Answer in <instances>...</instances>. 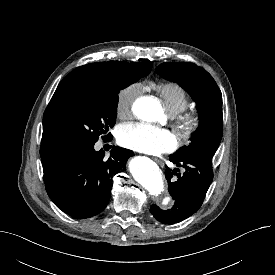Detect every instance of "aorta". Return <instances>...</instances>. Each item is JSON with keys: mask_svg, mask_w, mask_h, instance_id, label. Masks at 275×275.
<instances>
[{"mask_svg": "<svg viewBox=\"0 0 275 275\" xmlns=\"http://www.w3.org/2000/svg\"><path fill=\"white\" fill-rule=\"evenodd\" d=\"M133 111L145 121L157 120L162 114L160 103L150 96L137 99ZM130 170L134 179L152 196L156 197L164 190L163 177L155 162L146 158H136L132 161Z\"/></svg>", "mask_w": 275, "mask_h": 275, "instance_id": "aorta-1", "label": "aorta"}]
</instances>
